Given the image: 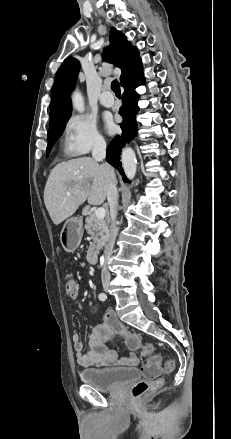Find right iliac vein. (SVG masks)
I'll list each match as a JSON object with an SVG mask.
<instances>
[{"instance_id":"right-iliac-vein-1","label":"right iliac vein","mask_w":231,"mask_h":439,"mask_svg":"<svg viewBox=\"0 0 231 439\" xmlns=\"http://www.w3.org/2000/svg\"><path fill=\"white\" fill-rule=\"evenodd\" d=\"M108 289H109V285H104V290L108 291Z\"/></svg>"}]
</instances>
